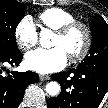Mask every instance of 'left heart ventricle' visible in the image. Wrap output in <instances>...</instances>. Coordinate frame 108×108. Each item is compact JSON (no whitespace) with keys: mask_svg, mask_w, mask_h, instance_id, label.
<instances>
[{"mask_svg":"<svg viewBox=\"0 0 108 108\" xmlns=\"http://www.w3.org/2000/svg\"><path fill=\"white\" fill-rule=\"evenodd\" d=\"M83 44H84L83 32L77 29L66 37H60L57 34H55L51 45L53 47H61L69 57L79 52Z\"/></svg>","mask_w":108,"mask_h":108,"instance_id":"obj_1","label":"left heart ventricle"}]
</instances>
